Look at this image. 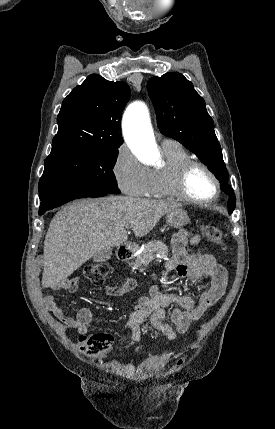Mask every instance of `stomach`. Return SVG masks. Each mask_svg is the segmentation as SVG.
Listing matches in <instances>:
<instances>
[{
	"instance_id": "1",
	"label": "stomach",
	"mask_w": 275,
	"mask_h": 429,
	"mask_svg": "<svg viewBox=\"0 0 275 429\" xmlns=\"http://www.w3.org/2000/svg\"><path fill=\"white\" fill-rule=\"evenodd\" d=\"M166 223L174 228H181L189 222L187 212L182 208H175L165 216Z\"/></svg>"
}]
</instances>
